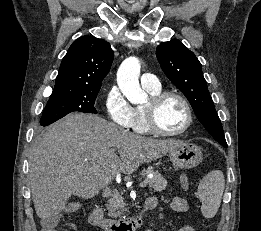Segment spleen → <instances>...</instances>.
I'll return each mask as SVG.
<instances>
[{"instance_id": "obj_1", "label": "spleen", "mask_w": 261, "mask_h": 231, "mask_svg": "<svg viewBox=\"0 0 261 231\" xmlns=\"http://www.w3.org/2000/svg\"><path fill=\"white\" fill-rule=\"evenodd\" d=\"M224 187V175L220 170H213L200 180L197 194L202 203L201 212L204 217L215 216L221 204Z\"/></svg>"}]
</instances>
